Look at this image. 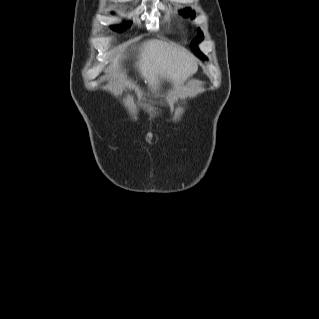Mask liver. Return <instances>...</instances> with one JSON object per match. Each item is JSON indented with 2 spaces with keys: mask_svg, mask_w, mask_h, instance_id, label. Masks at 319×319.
Segmentation results:
<instances>
[{
  "mask_svg": "<svg viewBox=\"0 0 319 319\" xmlns=\"http://www.w3.org/2000/svg\"><path fill=\"white\" fill-rule=\"evenodd\" d=\"M120 54L112 63L115 68ZM136 63L140 74L154 89L161 80L174 84L184 82L197 71L196 58L185 48L173 43L151 39L138 47Z\"/></svg>",
  "mask_w": 319,
  "mask_h": 319,
  "instance_id": "obj_1",
  "label": "liver"
}]
</instances>
